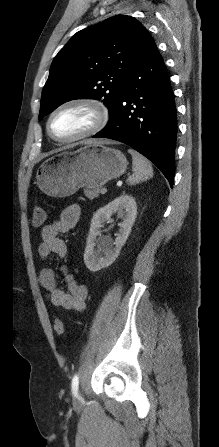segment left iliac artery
Returning <instances> with one entry per match:
<instances>
[{"instance_id":"1","label":"left iliac artery","mask_w":219,"mask_h":447,"mask_svg":"<svg viewBox=\"0 0 219 447\" xmlns=\"http://www.w3.org/2000/svg\"><path fill=\"white\" fill-rule=\"evenodd\" d=\"M78 385H79V377L77 374H75L72 379V384H71L72 392L75 396L77 395Z\"/></svg>"}]
</instances>
